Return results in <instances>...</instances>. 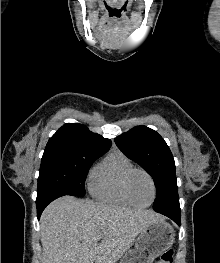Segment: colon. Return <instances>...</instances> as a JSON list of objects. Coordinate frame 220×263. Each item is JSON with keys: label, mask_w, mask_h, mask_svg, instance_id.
<instances>
[{"label": "colon", "mask_w": 220, "mask_h": 263, "mask_svg": "<svg viewBox=\"0 0 220 263\" xmlns=\"http://www.w3.org/2000/svg\"><path fill=\"white\" fill-rule=\"evenodd\" d=\"M174 252L172 249L165 250L157 263H172Z\"/></svg>", "instance_id": "5ec220e1"}]
</instances>
